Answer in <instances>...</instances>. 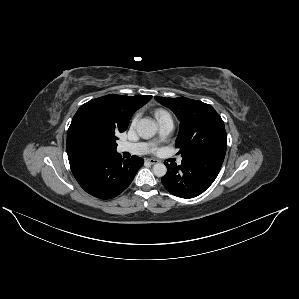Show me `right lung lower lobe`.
<instances>
[{"label":"right lung lower lobe","instance_id":"98d812e1","mask_svg":"<svg viewBox=\"0 0 299 299\" xmlns=\"http://www.w3.org/2000/svg\"><path fill=\"white\" fill-rule=\"evenodd\" d=\"M79 185L100 199L114 198L134 179L144 161L138 156L122 159L116 151H86L68 157Z\"/></svg>","mask_w":299,"mask_h":299}]
</instances>
